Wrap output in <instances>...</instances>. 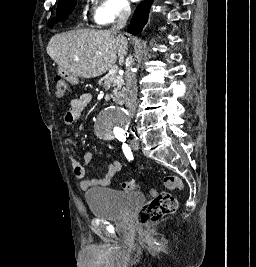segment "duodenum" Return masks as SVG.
<instances>
[{
	"instance_id": "obj_1",
	"label": "duodenum",
	"mask_w": 256,
	"mask_h": 267,
	"mask_svg": "<svg viewBox=\"0 0 256 267\" xmlns=\"http://www.w3.org/2000/svg\"><path fill=\"white\" fill-rule=\"evenodd\" d=\"M60 79H67V82H72L73 86H80V77H76L75 74H71V70H66V66H59ZM117 104L124 105V99H117Z\"/></svg>"
}]
</instances>
